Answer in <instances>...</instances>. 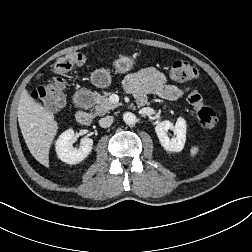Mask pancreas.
Listing matches in <instances>:
<instances>
[{
	"instance_id": "cf45deb5",
	"label": "pancreas",
	"mask_w": 252,
	"mask_h": 252,
	"mask_svg": "<svg viewBox=\"0 0 252 252\" xmlns=\"http://www.w3.org/2000/svg\"><path fill=\"white\" fill-rule=\"evenodd\" d=\"M95 101L97 105L95 106L94 116L104 115L118 106V104L112 103L107 96L98 93H95Z\"/></svg>"
}]
</instances>
